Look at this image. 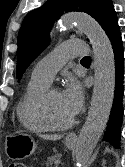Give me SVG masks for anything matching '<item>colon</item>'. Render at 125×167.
Returning a JSON list of instances; mask_svg holds the SVG:
<instances>
[{"instance_id":"5ec220e1","label":"colon","mask_w":125,"mask_h":167,"mask_svg":"<svg viewBox=\"0 0 125 167\" xmlns=\"http://www.w3.org/2000/svg\"><path fill=\"white\" fill-rule=\"evenodd\" d=\"M8 167H27L24 162L21 161H13L9 164Z\"/></svg>"}]
</instances>
